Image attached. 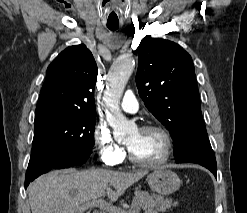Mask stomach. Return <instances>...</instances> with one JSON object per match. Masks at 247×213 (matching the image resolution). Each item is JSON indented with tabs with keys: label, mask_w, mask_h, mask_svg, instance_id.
Here are the masks:
<instances>
[{
	"label": "stomach",
	"mask_w": 247,
	"mask_h": 213,
	"mask_svg": "<svg viewBox=\"0 0 247 213\" xmlns=\"http://www.w3.org/2000/svg\"><path fill=\"white\" fill-rule=\"evenodd\" d=\"M148 184L154 192L166 196L177 191L181 181L175 172L166 168H159L149 174Z\"/></svg>",
	"instance_id": "0dacf381"
}]
</instances>
